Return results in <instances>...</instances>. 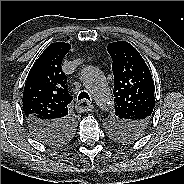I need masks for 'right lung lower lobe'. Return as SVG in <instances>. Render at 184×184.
Here are the masks:
<instances>
[{"instance_id":"obj_1","label":"right lung lower lobe","mask_w":184,"mask_h":184,"mask_svg":"<svg viewBox=\"0 0 184 184\" xmlns=\"http://www.w3.org/2000/svg\"><path fill=\"white\" fill-rule=\"evenodd\" d=\"M34 137L47 145L59 142L75 126V121L67 117L62 121L51 122L37 118L26 119Z\"/></svg>"}]
</instances>
